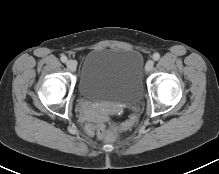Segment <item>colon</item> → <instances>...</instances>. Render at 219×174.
<instances>
[{
    "instance_id": "1",
    "label": "colon",
    "mask_w": 219,
    "mask_h": 174,
    "mask_svg": "<svg viewBox=\"0 0 219 174\" xmlns=\"http://www.w3.org/2000/svg\"><path fill=\"white\" fill-rule=\"evenodd\" d=\"M134 122V118H131L128 122L123 124L121 128L118 126H110L106 127L103 124H92L89 123L86 125V132L89 135H97L99 138L106 140L108 142H112L116 139L117 134L120 129L126 130L128 129Z\"/></svg>"
}]
</instances>
